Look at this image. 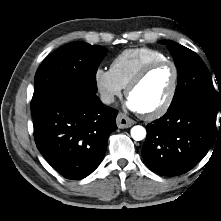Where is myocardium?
Returning a JSON list of instances; mask_svg holds the SVG:
<instances>
[{"mask_svg": "<svg viewBox=\"0 0 221 221\" xmlns=\"http://www.w3.org/2000/svg\"><path fill=\"white\" fill-rule=\"evenodd\" d=\"M162 65H169L173 69V81L170 88V91L163 101V103L157 107L156 109L149 111V112H140L141 115L146 119H156L163 116L171 107L174 98L177 93L178 84H179V69L175 62L169 59L157 60L145 65L129 82L126 87V96L130 99V95L132 91L140 85L143 80L157 67Z\"/></svg>", "mask_w": 221, "mask_h": 221, "instance_id": "obj_1", "label": "myocardium"}]
</instances>
